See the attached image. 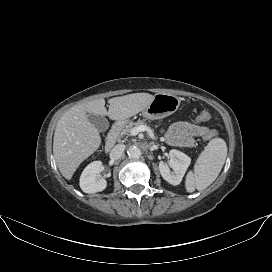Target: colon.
I'll list each match as a JSON object with an SVG mask.
<instances>
[{"label":"colon","instance_id":"5ec220e1","mask_svg":"<svg viewBox=\"0 0 272 272\" xmlns=\"http://www.w3.org/2000/svg\"><path fill=\"white\" fill-rule=\"evenodd\" d=\"M209 119L210 115L207 111H201L196 117V121L199 123L207 122ZM215 135H216L215 131L208 130V132L204 135V139L209 140L213 138Z\"/></svg>","mask_w":272,"mask_h":272}]
</instances>
